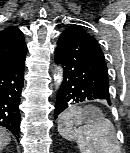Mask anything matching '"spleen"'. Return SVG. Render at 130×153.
<instances>
[{"label": "spleen", "instance_id": "3e777b00", "mask_svg": "<svg viewBox=\"0 0 130 153\" xmlns=\"http://www.w3.org/2000/svg\"><path fill=\"white\" fill-rule=\"evenodd\" d=\"M84 109L70 107L60 116L59 134L67 140H76L81 153H120L112 122L105 117L84 122Z\"/></svg>", "mask_w": 130, "mask_h": 153}]
</instances>
